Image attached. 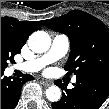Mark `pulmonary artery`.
<instances>
[{
  "mask_svg": "<svg viewBox=\"0 0 109 109\" xmlns=\"http://www.w3.org/2000/svg\"><path fill=\"white\" fill-rule=\"evenodd\" d=\"M69 45L70 41L68 36L65 34H57L52 40L50 49L45 54L23 63L16 64L14 65V69L30 73L38 72L48 64H51L65 56L69 50ZM75 82L76 79L73 78L72 84Z\"/></svg>",
  "mask_w": 109,
  "mask_h": 109,
  "instance_id": "1",
  "label": "pulmonary artery"
}]
</instances>
